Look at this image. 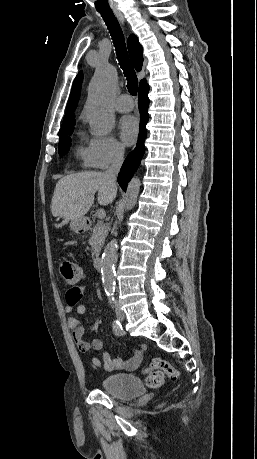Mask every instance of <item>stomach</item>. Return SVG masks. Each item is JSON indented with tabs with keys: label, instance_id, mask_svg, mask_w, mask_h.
Wrapping results in <instances>:
<instances>
[{
	"label": "stomach",
	"instance_id": "stomach-1",
	"mask_svg": "<svg viewBox=\"0 0 257 459\" xmlns=\"http://www.w3.org/2000/svg\"><path fill=\"white\" fill-rule=\"evenodd\" d=\"M70 229L75 233H81L84 230V219L72 220L70 222Z\"/></svg>",
	"mask_w": 257,
	"mask_h": 459
}]
</instances>
